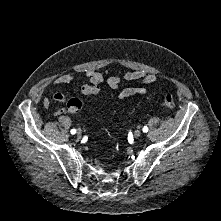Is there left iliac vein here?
Listing matches in <instances>:
<instances>
[{
	"label": "left iliac vein",
	"instance_id": "4c4485c4",
	"mask_svg": "<svg viewBox=\"0 0 221 221\" xmlns=\"http://www.w3.org/2000/svg\"><path fill=\"white\" fill-rule=\"evenodd\" d=\"M134 136H135V137H140V136H141V131L136 130V131L134 132Z\"/></svg>",
	"mask_w": 221,
	"mask_h": 221
}]
</instances>
